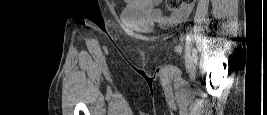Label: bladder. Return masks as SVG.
Here are the masks:
<instances>
[{
	"mask_svg": "<svg viewBox=\"0 0 267 115\" xmlns=\"http://www.w3.org/2000/svg\"><path fill=\"white\" fill-rule=\"evenodd\" d=\"M132 28L140 32H147L150 30L149 26H132Z\"/></svg>",
	"mask_w": 267,
	"mask_h": 115,
	"instance_id": "bladder-1",
	"label": "bladder"
}]
</instances>
